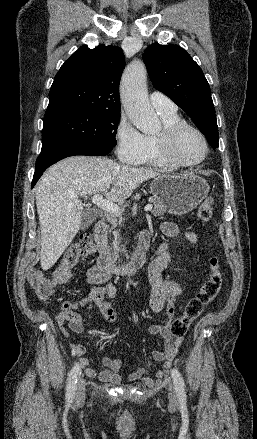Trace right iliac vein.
<instances>
[{
  "label": "right iliac vein",
  "mask_w": 257,
  "mask_h": 439,
  "mask_svg": "<svg viewBox=\"0 0 257 439\" xmlns=\"http://www.w3.org/2000/svg\"><path fill=\"white\" fill-rule=\"evenodd\" d=\"M85 398V385L82 379H79L76 387V399L78 401H83Z\"/></svg>",
  "instance_id": "1"
}]
</instances>
